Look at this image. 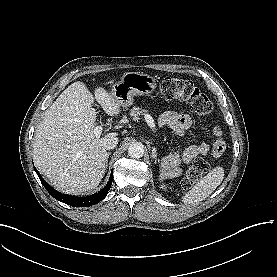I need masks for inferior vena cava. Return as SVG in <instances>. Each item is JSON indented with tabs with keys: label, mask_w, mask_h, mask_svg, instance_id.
Segmentation results:
<instances>
[{
	"label": "inferior vena cava",
	"mask_w": 277,
	"mask_h": 277,
	"mask_svg": "<svg viewBox=\"0 0 277 277\" xmlns=\"http://www.w3.org/2000/svg\"><path fill=\"white\" fill-rule=\"evenodd\" d=\"M118 144V138L115 136L108 137L104 141V147L108 150L113 149Z\"/></svg>",
	"instance_id": "602c4592"
}]
</instances>
